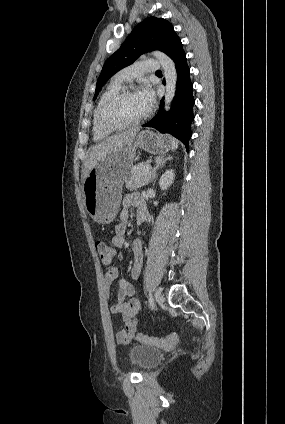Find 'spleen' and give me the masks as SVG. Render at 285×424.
Here are the masks:
<instances>
[{
	"instance_id": "3e777b00",
	"label": "spleen",
	"mask_w": 285,
	"mask_h": 424,
	"mask_svg": "<svg viewBox=\"0 0 285 424\" xmlns=\"http://www.w3.org/2000/svg\"><path fill=\"white\" fill-rule=\"evenodd\" d=\"M178 148V142L176 141V140H173V143H172V151H174L175 149H177Z\"/></svg>"
}]
</instances>
